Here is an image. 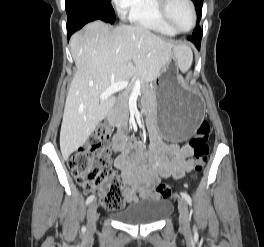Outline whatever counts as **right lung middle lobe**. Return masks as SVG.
I'll return each mask as SVG.
<instances>
[{"instance_id":"right-lung-middle-lobe-1","label":"right lung middle lobe","mask_w":264,"mask_h":247,"mask_svg":"<svg viewBox=\"0 0 264 247\" xmlns=\"http://www.w3.org/2000/svg\"><path fill=\"white\" fill-rule=\"evenodd\" d=\"M65 8L67 15L89 13L111 24L116 19L111 0H66Z\"/></svg>"}]
</instances>
